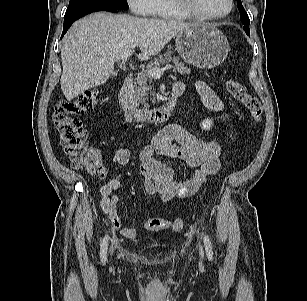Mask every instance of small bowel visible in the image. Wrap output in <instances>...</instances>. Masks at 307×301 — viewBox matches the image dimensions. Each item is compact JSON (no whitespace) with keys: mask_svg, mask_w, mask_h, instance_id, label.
<instances>
[{"mask_svg":"<svg viewBox=\"0 0 307 301\" xmlns=\"http://www.w3.org/2000/svg\"><path fill=\"white\" fill-rule=\"evenodd\" d=\"M195 87L210 112L217 113L223 110L222 101L208 84L198 81ZM174 88H181L184 91L185 85L177 82ZM131 122L132 117L126 115L125 124L129 125ZM157 156L184 162L187 167L181 179L176 178L174 169L159 161ZM219 156L220 146L216 141L205 142L190 135L180 125H166L153 136L151 143L145 146L139 155L140 172L145 178L147 195H156L162 202L193 195L209 175L219 171ZM130 158V151L125 147H119L112 157V162L122 168L128 164ZM94 165L98 177L102 180L106 179L108 170L98 152H96ZM122 180L123 172L119 171L101 186L100 206L114 230L126 238L134 239L137 236L136 229L125 226L117 212V204L120 200L117 190Z\"/></svg>","mask_w":307,"mask_h":301,"instance_id":"small-bowel-1","label":"small bowel"}]
</instances>
